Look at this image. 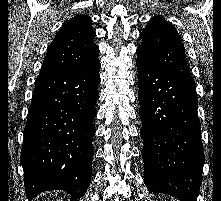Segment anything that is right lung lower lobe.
<instances>
[{
  "instance_id": "98d812e1",
  "label": "right lung lower lobe",
  "mask_w": 221,
  "mask_h": 201,
  "mask_svg": "<svg viewBox=\"0 0 221 201\" xmlns=\"http://www.w3.org/2000/svg\"><path fill=\"white\" fill-rule=\"evenodd\" d=\"M100 64L91 69L40 71L21 151L28 200L49 190L81 198L90 184Z\"/></svg>"
}]
</instances>
